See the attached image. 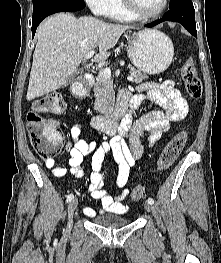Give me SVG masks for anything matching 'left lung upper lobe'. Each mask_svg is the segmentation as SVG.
I'll return each instance as SVG.
<instances>
[{
    "instance_id": "5c2ea615",
    "label": "left lung upper lobe",
    "mask_w": 221,
    "mask_h": 263,
    "mask_svg": "<svg viewBox=\"0 0 221 263\" xmlns=\"http://www.w3.org/2000/svg\"><path fill=\"white\" fill-rule=\"evenodd\" d=\"M186 1H190V0H171L170 1V6H174V5H177V4H180V3H184Z\"/></svg>"
}]
</instances>
